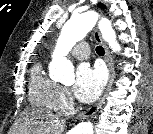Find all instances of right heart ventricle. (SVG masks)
I'll return each mask as SVG.
<instances>
[{"mask_svg":"<svg viewBox=\"0 0 153 134\" xmlns=\"http://www.w3.org/2000/svg\"><path fill=\"white\" fill-rule=\"evenodd\" d=\"M59 85L45 75L40 62L32 69L30 77V101L33 105L47 109H56V97Z\"/></svg>","mask_w":153,"mask_h":134,"instance_id":"1","label":"right heart ventricle"}]
</instances>
